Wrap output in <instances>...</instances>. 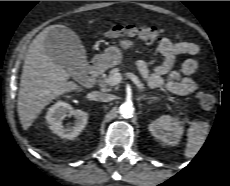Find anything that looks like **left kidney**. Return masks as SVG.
<instances>
[{
    "instance_id": "5707ae66",
    "label": "left kidney",
    "mask_w": 230,
    "mask_h": 186,
    "mask_svg": "<svg viewBox=\"0 0 230 186\" xmlns=\"http://www.w3.org/2000/svg\"><path fill=\"white\" fill-rule=\"evenodd\" d=\"M149 131L160 141L168 145H175L183 134L182 122L169 115H163L149 124Z\"/></svg>"
}]
</instances>
